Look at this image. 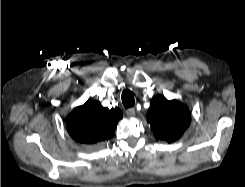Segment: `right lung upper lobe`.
<instances>
[{
    "mask_svg": "<svg viewBox=\"0 0 245 187\" xmlns=\"http://www.w3.org/2000/svg\"><path fill=\"white\" fill-rule=\"evenodd\" d=\"M122 113L101 106L98 101L88 100L76 107L67 117L69 135L79 143L92 145L112 137Z\"/></svg>",
    "mask_w": 245,
    "mask_h": 187,
    "instance_id": "right-lung-upper-lobe-1",
    "label": "right lung upper lobe"
}]
</instances>
